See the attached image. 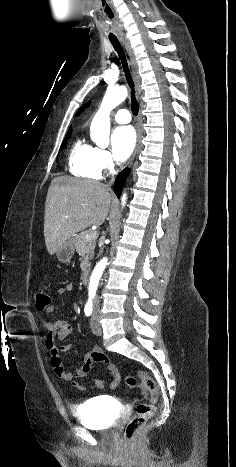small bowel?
<instances>
[{
  "mask_svg": "<svg viewBox=\"0 0 236 467\" xmlns=\"http://www.w3.org/2000/svg\"><path fill=\"white\" fill-rule=\"evenodd\" d=\"M72 290L73 285L67 284L63 287H60L57 293L58 295L63 296L70 293ZM55 308L56 305L51 304L46 310H44V313H51L55 310ZM42 322L45 328L47 329L45 346L50 354V362L58 378L65 381H73L74 387L80 391L102 390L104 388V382L101 379H95L90 383L74 381V379L76 378H83L89 375L92 371L93 365L97 362H102L113 378L112 382L110 383V388L116 389L118 387L120 383V374L117 370L116 365L108 357H106V359L103 361H97L93 358V354L102 353L97 347L83 354V356L81 357L82 365L79 368H77L74 372L64 367L61 359V353H68L71 350V344H64L60 347H57L55 341L66 340L74 331L75 326L62 319L48 321L44 317H42Z\"/></svg>",
  "mask_w": 236,
  "mask_h": 467,
  "instance_id": "small-bowel-1",
  "label": "small bowel"
}]
</instances>
